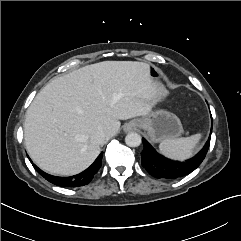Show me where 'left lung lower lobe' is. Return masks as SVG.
Masks as SVG:
<instances>
[{
	"instance_id": "obj_1",
	"label": "left lung lower lobe",
	"mask_w": 241,
	"mask_h": 241,
	"mask_svg": "<svg viewBox=\"0 0 241 241\" xmlns=\"http://www.w3.org/2000/svg\"><path fill=\"white\" fill-rule=\"evenodd\" d=\"M142 142L141 164L146 171L156 178L176 179L191 173L202 163L209 149L210 137L196 156L182 162L158 154L145 139Z\"/></svg>"
}]
</instances>
